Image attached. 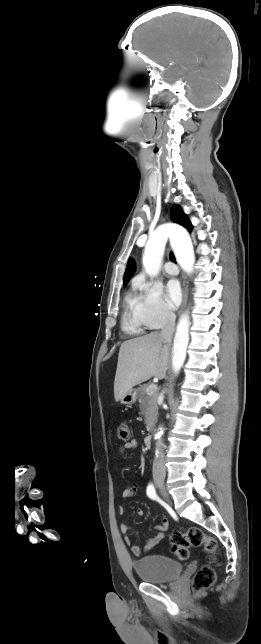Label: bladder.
I'll use <instances>...</instances> for the list:
<instances>
[{
	"mask_svg": "<svg viewBox=\"0 0 261 644\" xmlns=\"http://www.w3.org/2000/svg\"><path fill=\"white\" fill-rule=\"evenodd\" d=\"M133 568L142 581L164 583L177 578L183 566L177 560L163 555H148L133 562Z\"/></svg>",
	"mask_w": 261,
	"mask_h": 644,
	"instance_id": "obj_1",
	"label": "bladder"
}]
</instances>
